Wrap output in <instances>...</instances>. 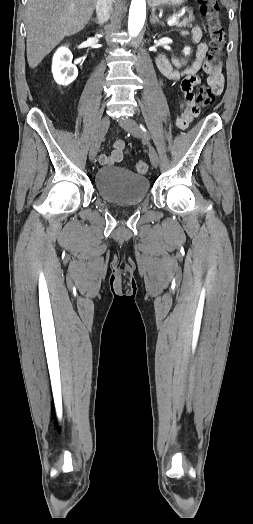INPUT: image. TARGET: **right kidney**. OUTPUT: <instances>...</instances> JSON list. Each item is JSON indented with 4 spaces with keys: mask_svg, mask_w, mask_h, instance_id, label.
Wrapping results in <instances>:
<instances>
[{
    "mask_svg": "<svg viewBox=\"0 0 253 524\" xmlns=\"http://www.w3.org/2000/svg\"><path fill=\"white\" fill-rule=\"evenodd\" d=\"M73 55L67 47H60L53 56L52 73L59 85H68L78 76V70L72 64Z\"/></svg>",
    "mask_w": 253,
    "mask_h": 524,
    "instance_id": "obj_1",
    "label": "right kidney"
}]
</instances>
